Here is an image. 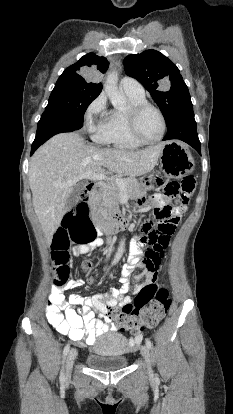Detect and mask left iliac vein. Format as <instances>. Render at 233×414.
<instances>
[{"instance_id": "1", "label": "left iliac vein", "mask_w": 233, "mask_h": 414, "mask_svg": "<svg viewBox=\"0 0 233 414\" xmlns=\"http://www.w3.org/2000/svg\"><path fill=\"white\" fill-rule=\"evenodd\" d=\"M141 354H142V356H143V358H144V360H145V362L147 364V370H148V372L151 373L152 370H151V366H150V352H149V349H148L147 346H143L141 348Z\"/></svg>"}]
</instances>
